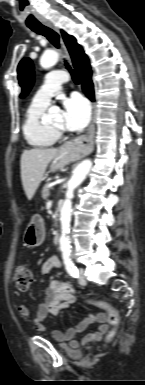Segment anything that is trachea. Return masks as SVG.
<instances>
[{
    "mask_svg": "<svg viewBox=\"0 0 145 385\" xmlns=\"http://www.w3.org/2000/svg\"><path fill=\"white\" fill-rule=\"evenodd\" d=\"M29 28L32 31H34L35 33L45 36L50 41L51 44H53L55 47L59 48V35L57 32H55L51 28L44 26L42 24L29 26ZM65 65H66L67 69L69 70V72L71 73L73 81L76 84H79L81 80H80V77L78 76V74L71 69V67L69 66V64L66 61H65Z\"/></svg>",
    "mask_w": 145,
    "mask_h": 385,
    "instance_id": "trachea-1",
    "label": "trachea"
}]
</instances>
